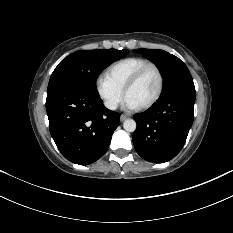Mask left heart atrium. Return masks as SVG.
Here are the masks:
<instances>
[{
	"mask_svg": "<svg viewBox=\"0 0 233 233\" xmlns=\"http://www.w3.org/2000/svg\"><path fill=\"white\" fill-rule=\"evenodd\" d=\"M123 107L127 110H135V109L139 108V105L137 103H135L129 97H126L124 100Z\"/></svg>",
	"mask_w": 233,
	"mask_h": 233,
	"instance_id": "39dd6f15",
	"label": "left heart atrium"
}]
</instances>
